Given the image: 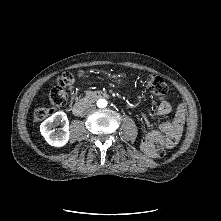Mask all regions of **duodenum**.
Instances as JSON below:
<instances>
[{"instance_id":"obj_1","label":"duodenum","mask_w":221,"mask_h":221,"mask_svg":"<svg viewBox=\"0 0 221 221\" xmlns=\"http://www.w3.org/2000/svg\"><path fill=\"white\" fill-rule=\"evenodd\" d=\"M109 95L102 91L92 92L83 99L77 101L73 107L72 112L74 115L81 114L91 103L96 101L99 98H108Z\"/></svg>"}]
</instances>
